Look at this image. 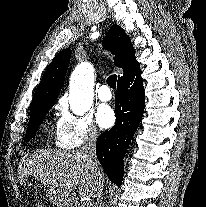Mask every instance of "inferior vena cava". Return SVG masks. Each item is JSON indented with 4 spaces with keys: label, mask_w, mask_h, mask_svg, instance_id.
Wrapping results in <instances>:
<instances>
[{
    "label": "inferior vena cava",
    "mask_w": 206,
    "mask_h": 207,
    "mask_svg": "<svg viewBox=\"0 0 206 207\" xmlns=\"http://www.w3.org/2000/svg\"><path fill=\"white\" fill-rule=\"evenodd\" d=\"M96 139L97 132L94 130L90 131L86 136L84 144L81 148V153L83 154L93 175V184L95 191V195L93 198L96 199L95 203H90L87 205V207H103L102 169L96 156Z\"/></svg>",
    "instance_id": "obj_1"
}]
</instances>
